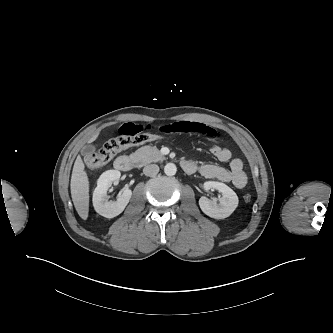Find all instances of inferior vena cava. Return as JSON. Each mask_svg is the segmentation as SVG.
Wrapping results in <instances>:
<instances>
[{"mask_svg": "<svg viewBox=\"0 0 333 333\" xmlns=\"http://www.w3.org/2000/svg\"><path fill=\"white\" fill-rule=\"evenodd\" d=\"M159 172V166L156 164H150L144 167L143 173L146 176H153Z\"/></svg>", "mask_w": 333, "mask_h": 333, "instance_id": "obj_1", "label": "inferior vena cava"}]
</instances>
